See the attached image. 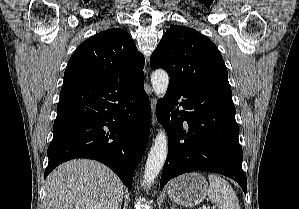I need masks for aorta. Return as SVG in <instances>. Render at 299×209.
<instances>
[{"mask_svg":"<svg viewBox=\"0 0 299 209\" xmlns=\"http://www.w3.org/2000/svg\"><path fill=\"white\" fill-rule=\"evenodd\" d=\"M151 83L154 93L163 97L169 85V75L163 69L155 70L151 75ZM168 154V138L164 130H160L154 140L153 146L148 154L144 180L145 184L151 185L159 175Z\"/></svg>","mask_w":299,"mask_h":209,"instance_id":"obj_1","label":"aorta"}]
</instances>
